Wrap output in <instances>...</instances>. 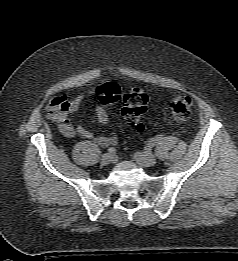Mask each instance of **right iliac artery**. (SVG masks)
I'll return each instance as SVG.
<instances>
[{"instance_id":"obj_1","label":"right iliac artery","mask_w":238,"mask_h":261,"mask_svg":"<svg viewBox=\"0 0 238 261\" xmlns=\"http://www.w3.org/2000/svg\"><path fill=\"white\" fill-rule=\"evenodd\" d=\"M108 152H109L110 154H115V153H116V150H115V148L110 147V148L108 149Z\"/></svg>"}]
</instances>
